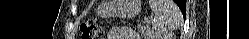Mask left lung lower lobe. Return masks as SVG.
Here are the masks:
<instances>
[{
    "label": "left lung lower lobe",
    "instance_id": "obj_1",
    "mask_svg": "<svg viewBox=\"0 0 249 39\" xmlns=\"http://www.w3.org/2000/svg\"><path fill=\"white\" fill-rule=\"evenodd\" d=\"M175 2L179 5V3H183L182 5V7H180V9H181V11H182V13H184L185 12V1L184 0H175Z\"/></svg>",
    "mask_w": 249,
    "mask_h": 39
}]
</instances>
